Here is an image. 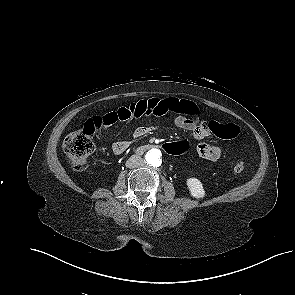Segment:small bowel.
<instances>
[{
    "instance_id": "small-bowel-1",
    "label": "small bowel",
    "mask_w": 295,
    "mask_h": 295,
    "mask_svg": "<svg viewBox=\"0 0 295 295\" xmlns=\"http://www.w3.org/2000/svg\"><path fill=\"white\" fill-rule=\"evenodd\" d=\"M181 100L176 98H147L132 102L127 106H122L117 110L106 113L101 116L103 130L109 129L119 123H125L132 119L146 115L156 117L164 116L169 113H174L175 124L184 130L192 132L193 136L198 140H203L211 133L209 122L201 119H192L187 117L180 111ZM155 129V126H139L133 131V138L138 139ZM131 142L128 139L116 140L111 148L114 154H123L129 147ZM198 155L207 161H215L220 158L222 149L218 145H212L202 142L197 147Z\"/></svg>"
}]
</instances>
